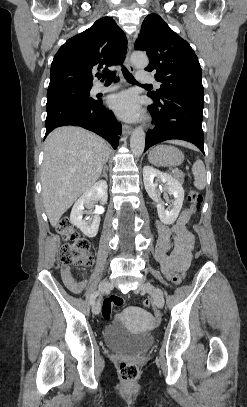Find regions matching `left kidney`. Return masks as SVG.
I'll return each mask as SVG.
<instances>
[{
	"label": "left kidney",
	"instance_id": "1",
	"mask_svg": "<svg viewBox=\"0 0 247 407\" xmlns=\"http://www.w3.org/2000/svg\"><path fill=\"white\" fill-rule=\"evenodd\" d=\"M154 178H156V182H154ZM143 181L149 197L157 203L158 216L161 222L168 225L173 224L182 209L184 201V189L182 184L171 175L163 173L151 166H145L143 168ZM158 183L162 185L165 184L168 193L174 196L171 210L165 209L161 200L158 198Z\"/></svg>",
	"mask_w": 247,
	"mask_h": 407
}]
</instances>
